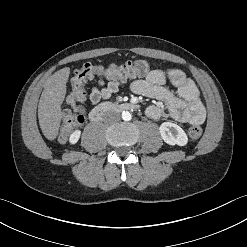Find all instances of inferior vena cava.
Returning <instances> with one entry per match:
<instances>
[{
    "label": "inferior vena cava",
    "mask_w": 247,
    "mask_h": 247,
    "mask_svg": "<svg viewBox=\"0 0 247 247\" xmlns=\"http://www.w3.org/2000/svg\"><path fill=\"white\" fill-rule=\"evenodd\" d=\"M107 121H118L120 120V115L117 112H108L104 115Z\"/></svg>",
    "instance_id": "602c4592"
}]
</instances>
